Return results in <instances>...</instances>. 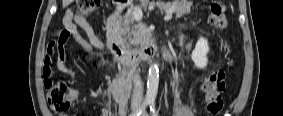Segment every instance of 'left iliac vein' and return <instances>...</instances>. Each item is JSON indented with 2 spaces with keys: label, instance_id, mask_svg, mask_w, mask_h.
Returning <instances> with one entry per match:
<instances>
[{
  "label": "left iliac vein",
  "instance_id": "1",
  "mask_svg": "<svg viewBox=\"0 0 283 116\" xmlns=\"http://www.w3.org/2000/svg\"><path fill=\"white\" fill-rule=\"evenodd\" d=\"M143 116H148V113L146 111H144Z\"/></svg>",
  "mask_w": 283,
  "mask_h": 116
}]
</instances>
